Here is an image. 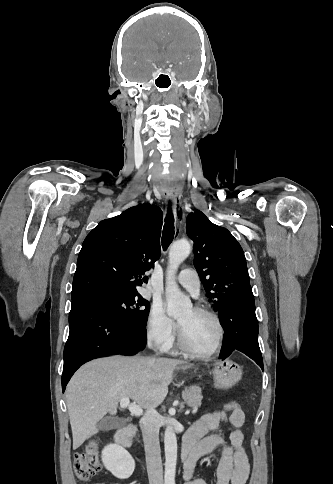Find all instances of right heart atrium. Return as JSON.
Listing matches in <instances>:
<instances>
[{
    "label": "right heart atrium",
    "mask_w": 333,
    "mask_h": 484,
    "mask_svg": "<svg viewBox=\"0 0 333 484\" xmlns=\"http://www.w3.org/2000/svg\"><path fill=\"white\" fill-rule=\"evenodd\" d=\"M176 334L175 322L166 314L160 304H153L146 321L148 341L160 350H169Z\"/></svg>",
    "instance_id": "obj_1"
}]
</instances>
